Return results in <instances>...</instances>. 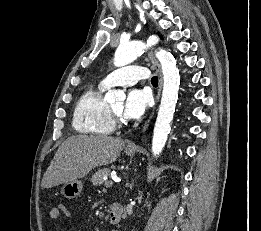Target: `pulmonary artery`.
Returning <instances> with one entry per match:
<instances>
[{
    "label": "pulmonary artery",
    "mask_w": 261,
    "mask_h": 231,
    "mask_svg": "<svg viewBox=\"0 0 261 231\" xmlns=\"http://www.w3.org/2000/svg\"><path fill=\"white\" fill-rule=\"evenodd\" d=\"M148 70L142 66H125L118 68L101 81L104 87L127 86L137 83L140 80L147 79Z\"/></svg>",
    "instance_id": "pulmonary-artery-1"
}]
</instances>
